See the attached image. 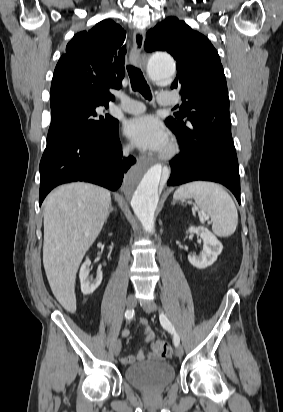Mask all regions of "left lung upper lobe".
Masks as SVG:
<instances>
[{
    "mask_svg": "<svg viewBox=\"0 0 283 412\" xmlns=\"http://www.w3.org/2000/svg\"><path fill=\"white\" fill-rule=\"evenodd\" d=\"M144 48L148 52L167 51L177 61L171 87L180 91V111L187 121L168 117L166 125L173 132L195 133L211 155L237 160L226 79L210 41L185 22L169 17L147 32Z\"/></svg>",
    "mask_w": 283,
    "mask_h": 412,
    "instance_id": "5c2ea615",
    "label": "left lung upper lobe"
}]
</instances>
